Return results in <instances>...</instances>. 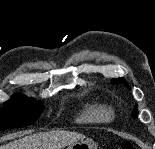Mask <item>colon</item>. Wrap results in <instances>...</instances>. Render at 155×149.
<instances>
[{
  "label": "colon",
  "mask_w": 155,
  "mask_h": 149,
  "mask_svg": "<svg viewBox=\"0 0 155 149\" xmlns=\"http://www.w3.org/2000/svg\"><path fill=\"white\" fill-rule=\"evenodd\" d=\"M119 149H135V147L131 142L125 141L121 143V145L119 146Z\"/></svg>",
  "instance_id": "5ec220e1"
}]
</instances>
